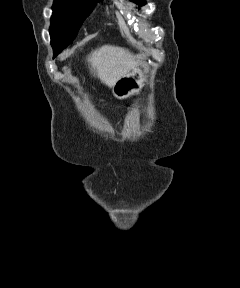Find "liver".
<instances>
[{
	"mask_svg": "<svg viewBox=\"0 0 240 288\" xmlns=\"http://www.w3.org/2000/svg\"><path fill=\"white\" fill-rule=\"evenodd\" d=\"M136 58L124 48L104 45L89 55L88 62L101 82L113 87L120 77L138 65Z\"/></svg>",
	"mask_w": 240,
	"mask_h": 288,
	"instance_id": "6515ba94",
	"label": "liver"
}]
</instances>
